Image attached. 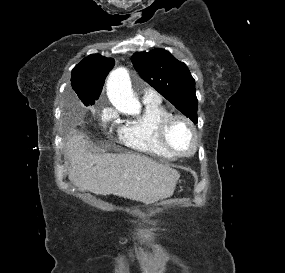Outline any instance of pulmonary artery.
I'll list each match as a JSON object with an SVG mask.
<instances>
[{
	"mask_svg": "<svg viewBox=\"0 0 285 273\" xmlns=\"http://www.w3.org/2000/svg\"><path fill=\"white\" fill-rule=\"evenodd\" d=\"M160 96L153 90V89H145L144 90V102H151V101H159Z\"/></svg>",
	"mask_w": 285,
	"mask_h": 273,
	"instance_id": "obj_1",
	"label": "pulmonary artery"
}]
</instances>
